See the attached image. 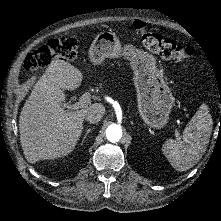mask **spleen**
Returning a JSON list of instances; mask_svg holds the SVG:
<instances>
[{
    "label": "spleen",
    "instance_id": "obj_1",
    "mask_svg": "<svg viewBox=\"0 0 221 221\" xmlns=\"http://www.w3.org/2000/svg\"><path fill=\"white\" fill-rule=\"evenodd\" d=\"M209 106L203 103L189 120L181 137L165 141L163 151L178 171H187L200 161L212 132Z\"/></svg>",
    "mask_w": 221,
    "mask_h": 221
}]
</instances>
